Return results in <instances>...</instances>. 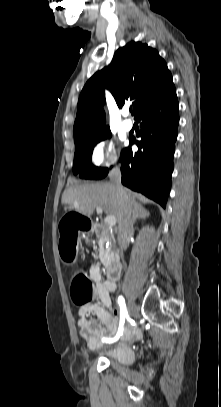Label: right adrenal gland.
<instances>
[{
    "instance_id": "1",
    "label": "right adrenal gland",
    "mask_w": 221,
    "mask_h": 407,
    "mask_svg": "<svg viewBox=\"0 0 221 407\" xmlns=\"http://www.w3.org/2000/svg\"><path fill=\"white\" fill-rule=\"evenodd\" d=\"M147 216H149V213L141 206L132 211L133 223H135L138 219H145Z\"/></svg>"
}]
</instances>
